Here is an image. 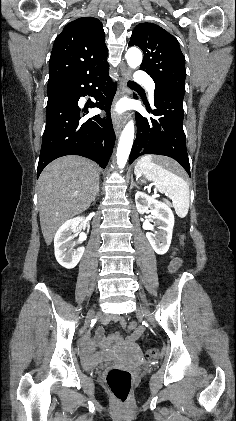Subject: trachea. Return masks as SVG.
<instances>
[{
  "label": "trachea",
  "instance_id": "3493384b",
  "mask_svg": "<svg viewBox=\"0 0 236 421\" xmlns=\"http://www.w3.org/2000/svg\"><path fill=\"white\" fill-rule=\"evenodd\" d=\"M127 85H128V86H130V87H135V86H138V84H137V83L132 82L131 80H128Z\"/></svg>",
  "mask_w": 236,
  "mask_h": 421
}]
</instances>
